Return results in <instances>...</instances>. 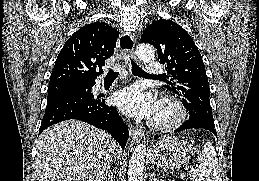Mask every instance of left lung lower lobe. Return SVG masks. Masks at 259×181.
<instances>
[{
  "instance_id": "left-lung-lower-lobe-1",
  "label": "left lung lower lobe",
  "mask_w": 259,
  "mask_h": 181,
  "mask_svg": "<svg viewBox=\"0 0 259 181\" xmlns=\"http://www.w3.org/2000/svg\"><path fill=\"white\" fill-rule=\"evenodd\" d=\"M192 128H201L211 131L215 136H217L214 121H209L201 118H191L183 123L179 128H177L174 132L183 131L186 129ZM160 137L159 135L155 136V139Z\"/></svg>"
}]
</instances>
